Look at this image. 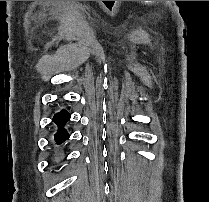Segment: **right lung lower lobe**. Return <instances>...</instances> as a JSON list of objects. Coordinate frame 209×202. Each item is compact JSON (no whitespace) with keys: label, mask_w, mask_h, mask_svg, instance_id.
<instances>
[{"label":"right lung lower lobe","mask_w":209,"mask_h":202,"mask_svg":"<svg viewBox=\"0 0 209 202\" xmlns=\"http://www.w3.org/2000/svg\"><path fill=\"white\" fill-rule=\"evenodd\" d=\"M70 119V114L66 110H62L55 114L53 117V122L58 125L57 133L54 135L56 143L59 145L69 138V134L64 129V125Z\"/></svg>","instance_id":"right-lung-lower-lobe-1"}]
</instances>
